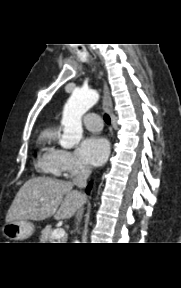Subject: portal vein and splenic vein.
I'll use <instances>...</instances> for the list:
<instances>
[{
    "label": "portal vein and splenic vein",
    "instance_id": "18ae733b",
    "mask_svg": "<svg viewBox=\"0 0 181 288\" xmlns=\"http://www.w3.org/2000/svg\"><path fill=\"white\" fill-rule=\"evenodd\" d=\"M65 235V230L63 228H57L52 232V237L54 239H60L64 237Z\"/></svg>",
    "mask_w": 181,
    "mask_h": 288
}]
</instances>
